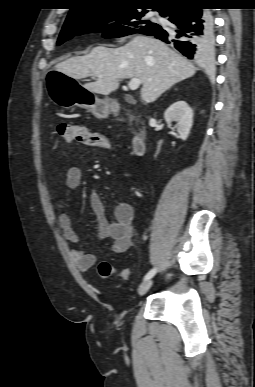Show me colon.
I'll list each match as a JSON object with an SVG mask.
<instances>
[{
    "instance_id": "5ec220e1",
    "label": "colon",
    "mask_w": 255,
    "mask_h": 387,
    "mask_svg": "<svg viewBox=\"0 0 255 387\" xmlns=\"http://www.w3.org/2000/svg\"><path fill=\"white\" fill-rule=\"evenodd\" d=\"M57 132L67 143L79 142L86 146L98 148H109L111 146V142L106 135L92 132L85 126L76 123L62 122L58 125ZM97 272L100 277L107 279L112 277L116 270L109 262L101 261L97 265ZM119 275L122 279L129 280L131 272L128 269H122Z\"/></svg>"
}]
</instances>
